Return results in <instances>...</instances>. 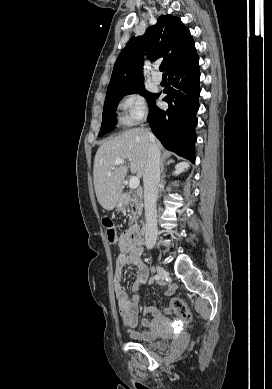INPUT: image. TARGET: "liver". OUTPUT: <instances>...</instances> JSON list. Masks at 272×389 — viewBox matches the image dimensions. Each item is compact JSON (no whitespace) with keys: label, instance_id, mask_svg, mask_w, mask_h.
<instances>
[{"label":"liver","instance_id":"1","mask_svg":"<svg viewBox=\"0 0 272 389\" xmlns=\"http://www.w3.org/2000/svg\"><path fill=\"white\" fill-rule=\"evenodd\" d=\"M149 134L142 128L130 129L104 142L97 150L93 170L94 187L97 200L104 209L110 211L118 203L123 190L122 183L129 169L124 164L113 166L116 159L129 161L131 173H136L138 178L144 175ZM155 143L161 150V143L157 139Z\"/></svg>","mask_w":272,"mask_h":389}]
</instances>
